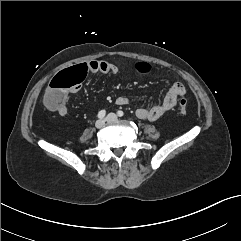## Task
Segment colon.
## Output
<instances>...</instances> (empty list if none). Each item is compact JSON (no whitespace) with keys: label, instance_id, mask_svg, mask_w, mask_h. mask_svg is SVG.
Here are the masks:
<instances>
[{"label":"colon","instance_id":"obj_1","mask_svg":"<svg viewBox=\"0 0 241 241\" xmlns=\"http://www.w3.org/2000/svg\"><path fill=\"white\" fill-rule=\"evenodd\" d=\"M140 72H145L148 67L145 64L136 66ZM90 74V67L86 63H75L69 69H64L56 74L50 81L45 94L44 102L48 108L59 105L63 101L65 93L79 85ZM188 110L187 100L182 98L179 102V111L186 114Z\"/></svg>","mask_w":241,"mask_h":241}]
</instances>
